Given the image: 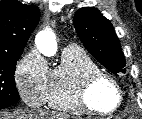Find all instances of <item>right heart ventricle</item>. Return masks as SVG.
I'll return each mask as SVG.
<instances>
[{"label": "right heart ventricle", "instance_id": "e07e8e85", "mask_svg": "<svg viewBox=\"0 0 142 119\" xmlns=\"http://www.w3.org/2000/svg\"><path fill=\"white\" fill-rule=\"evenodd\" d=\"M92 58L77 46L66 47L59 64L49 72L45 103L52 109L72 114L82 110L73 98L76 83L86 74L99 71Z\"/></svg>", "mask_w": 142, "mask_h": 119}]
</instances>
